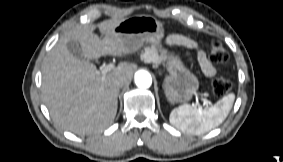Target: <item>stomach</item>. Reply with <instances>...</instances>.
<instances>
[{
    "label": "stomach",
    "instance_id": "1",
    "mask_svg": "<svg viewBox=\"0 0 283 162\" xmlns=\"http://www.w3.org/2000/svg\"><path fill=\"white\" fill-rule=\"evenodd\" d=\"M113 32L123 40L130 52L136 51L144 42H148L161 53L169 73L164 78L162 87L170 103H185L197 93L199 88L197 77L184 65L177 54L162 47L164 28L155 17L137 15L123 19L114 27Z\"/></svg>",
    "mask_w": 283,
    "mask_h": 162
}]
</instances>
